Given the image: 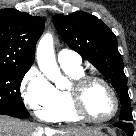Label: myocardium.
Listing matches in <instances>:
<instances>
[{
	"label": "myocardium",
	"instance_id": "f54148a6",
	"mask_svg": "<svg viewBox=\"0 0 136 136\" xmlns=\"http://www.w3.org/2000/svg\"><path fill=\"white\" fill-rule=\"evenodd\" d=\"M102 84L110 93L113 101V111L105 118H95L91 116L85 105V96L89 87L93 84ZM68 94L71 100V105L74 113L81 119L90 123L102 124L111 121L115 118L119 111V99L112 85L105 79L97 76H81L75 79L68 89Z\"/></svg>",
	"mask_w": 136,
	"mask_h": 136
}]
</instances>
